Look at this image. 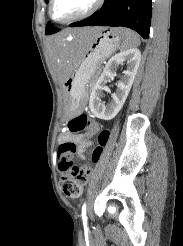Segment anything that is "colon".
<instances>
[{
    "label": "colon",
    "instance_id": "obj_1",
    "mask_svg": "<svg viewBox=\"0 0 183 246\" xmlns=\"http://www.w3.org/2000/svg\"><path fill=\"white\" fill-rule=\"evenodd\" d=\"M90 126L86 114H80L69 122V129L74 134H83ZM97 145L90 149L91 163H97L102 155L103 146L107 142L108 132L103 130L96 135ZM75 151V145L65 142L59 146V167L61 170V188L63 194L70 199H77L82 194L83 186L88 182L92 173L91 165L78 166L70 155Z\"/></svg>",
    "mask_w": 183,
    "mask_h": 246
}]
</instances>
